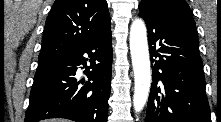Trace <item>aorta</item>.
<instances>
[{
  "label": "aorta",
  "instance_id": "aorta-1",
  "mask_svg": "<svg viewBox=\"0 0 221 122\" xmlns=\"http://www.w3.org/2000/svg\"><path fill=\"white\" fill-rule=\"evenodd\" d=\"M130 52L135 81L133 106L135 112H140L148 99L151 85L147 31L141 19H136L132 22L130 28Z\"/></svg>",
  "mask_w": 221,
  "mask_h": 122
}]
</instances>
